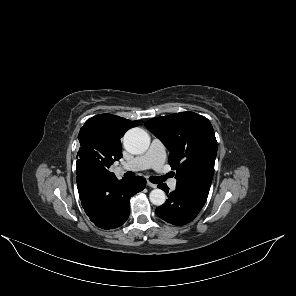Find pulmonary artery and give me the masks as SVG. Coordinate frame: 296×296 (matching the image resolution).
Wrapping results in <instances>:
<instances>
[{
    "instance_id": "pulmonary-artery-1",
    "label": "pulmonary artery",
    "mask_w": 296,
    "mask_h": 296,
    "mask_svg": "<svg viewBox=\"0 0 296 296\" xmlns=\"http://www.w3.org/2000/svg\"><path fill=\"white\" fill-rule=\"evenodd\" d=\"M165 161V147L163 143L154 138L151 142V145L146 153L143 155L137 156L130 161L126 162L125 164L119 166L117 168L118 172H122L125 170H132V171H139L144 169H154L160 170ZM176 179L171 178L168 181V186L171 189L176 187Z\"/></svg>"
}]
</instances>
